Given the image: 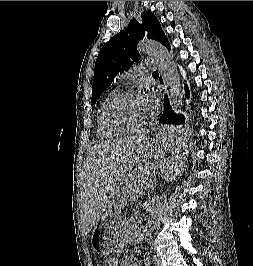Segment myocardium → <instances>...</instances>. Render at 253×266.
I'll list each match as a JSON object with an SVG mask.
<instances>
[{
    "instance_id": "1",
    "label": "myocardium",
    "mask_w": 253,
    "mask_h": 266,
    "mask_svg": "<svg viewBox=\"0 0 253 266\" xmlns=\"http://www.w3.org/2000/svg\"><path fill=\"white\" fill-rule=\"evenodd\" d=\"M129 95H140V92L135 89H125L121 92H118L115 96L111 98V100L107 103V105L104 108L103 112L104 126L108 130L114 133L118 134L132 133L134 131H138L140 128H142L144 125L147 124L148 119H145L142 123L138 124L137 126H131V127H123L112 122L111 113L113 108L121 99Z\"/></svg>"
}]
</instances>
